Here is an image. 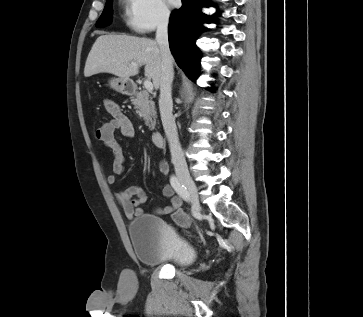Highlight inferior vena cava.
<instances>
[{
  "instance_id": "602c4592",
  "label": "inferior vena cava",
  "mask_w": 363,
  "mask_h": 317,
  "mask_svg": "<svg viewBox=\"0 0 363 317\" xmlns=\"http://www.w3.org/2000/svg\"><path fill=\"white\" fill-rule=\"evenodd\" d=\"M168 24L169 15L166 14L162 16L159 20L156 31V42L159 46L162 57L161 76L159 84V109L163 128L165 130L170 147L172 158L171 161L176 171L187 172V164L179 142L175 119L172 114L173 102L171 96V85L174 77V69L173 57L170 52L168 42Z\"/></svg>"
}]
</instances>
